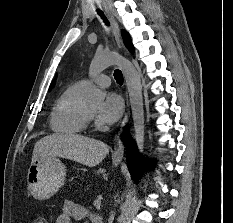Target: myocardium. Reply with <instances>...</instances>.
<instances>
[{
  "mask_svg": "<svg viewBox=\"0 0 233 223\" xmlns=\"http://www.w3.org/2000/svg\"><path fill=\"white\" fill-rule=\"evenodd\" d=\"M84 117H85V121L86 123H90L92 122L94 119H95V115H93L89 109L87 108V106H85V109H84Z\"/></svg>",
  "mask_w": 233,
  "mask_h": 223,
  "instance_id": "obj_1",
  "label": "myocardium"
}]
</instances>
